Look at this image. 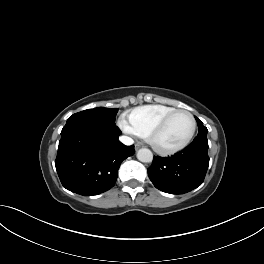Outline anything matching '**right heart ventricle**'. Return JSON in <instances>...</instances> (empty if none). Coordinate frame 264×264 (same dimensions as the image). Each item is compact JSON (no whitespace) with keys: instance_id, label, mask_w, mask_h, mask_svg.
Here are the masks:
<instances>
[{"instance_id":"1","label":"right heart ventricle","mask_w":264,"mask_h":264,"mask_svg":"<svg viewBox=\"0 0 264 264\" xmlns=\"http://www.w3.org/2000/svg\"><path fill=\"white\" fill-rule=\"evenodd\" d=\"M175 107L163 104L144 105L133 109L128 120L137 136L146 138L150 131Z\"/></svg>"}]
</instances>
